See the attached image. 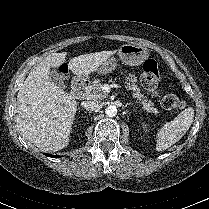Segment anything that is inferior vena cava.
Returning a JSON list of instances; mask_svg holds the SVG:
<instances>
[{
    "label": "inferior vena cava",
    "mask_w": 209,
    "mask_h": 209,
    "mask_svg": "<svg viewBox=\"0 0 209 209\" xmlns=\"http://www.w3.org/2000/svg\"><path fill=\"white\" fill-rule=\"evenodd\" d=\"M82 106L90 111H98L101 108V104L98 101H83Z\"/></svg>",
    "instance_id": "602c4592"
}]
</instances>
